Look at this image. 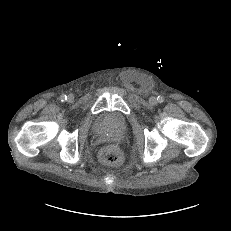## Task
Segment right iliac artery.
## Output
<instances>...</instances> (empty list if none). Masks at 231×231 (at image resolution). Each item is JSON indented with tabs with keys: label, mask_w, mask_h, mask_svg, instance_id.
<instances>
[{
	"label": "right iliac artery",
	"mask_w": 231,
	"mask_h": 231,
	"mask_svg": "<svg viewBox=\"0 0 231 231\" xmlns=\"http://www.w3.org/2000/svg\"><path fill=\"white\" fill-rule=\"evenodd\" d=\"M60 100H61L62 102H64L65 100H67V96L64 95V94H62V95L60 96Z\"/></svg>",
	"instance_id": "82829eb1"
}]
</instances>
